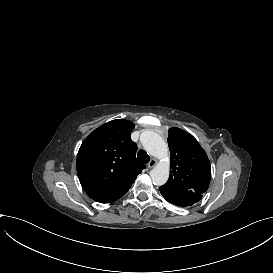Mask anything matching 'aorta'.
I'll use <instances>...</instances> for the list:
<instances>
[{
	"label": "aorta",
	"instance_id": "762f6f07",
	"mask_svg": "<svg viewBox=\"0 0 273 273\" xmlns=\"http://www.w3.org/2000/svg\"><path fill=\"white\" fill-rule=\"evenodd\" d=\"M142 145L149 154L160 159V162L150 171V176L155 185H164L169 178L170 162L168 146L160 135L147 131L142 134Z\"/></svg>",
	"mask_w": 273,
	"mask_h": 273
}]
</instances>
